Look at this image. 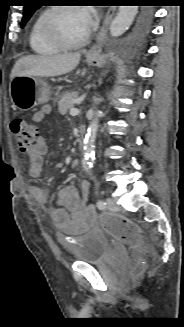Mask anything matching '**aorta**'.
Instances as JSON below:
<instances>
[{
	"instance_id": "1",
	"label": "aorta",
	"mask_w": 184,
	"mask_h": 327,
	"mask_svg": "<svg viewBox=\"0 0 184 327\" xmlns=\"http://www.w3.org/2000/svg\"><path fill=\"white\" fill-rule=\"evenodd\" d=\"M138 13L137 6H120L119 11L110 25V34L113 37H118L125 33L134 21L135 16ZM101 115V111L95 113L94 118L90 122L88 132L84 142V154L87 164L92 165L94 159V143L99 127L98 118Z\"/></svg>"
}]
</instances>
